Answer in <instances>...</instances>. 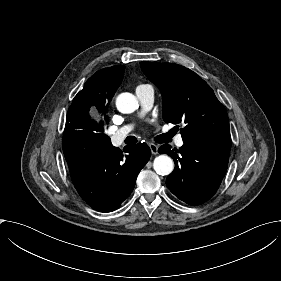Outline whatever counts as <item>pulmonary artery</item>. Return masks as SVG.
Here are the masks:
<instances>
[{
	"label": "pulmonary artery",
	"mask_w": 281,
	"mask_h": 281,
	"mask_svg": "<svg viewBox=\"0 0 281 281\" xmlns=\"http://www.w3.org/2000/svg\"><path fill=\"white\" fill-rule=\"evenodd\" d=\"M137 98L144 110H150L154 103V93L150 87H139L136 90ZM131 131L130 126H124L120 128L111 136L112 144L115 148L119 149L122 147L124 140ZM175 144L177 146L183 145V140L180 135L175 138Z\"/></svg>",
	"instance_id": "obj_1"
}]
</instances>
